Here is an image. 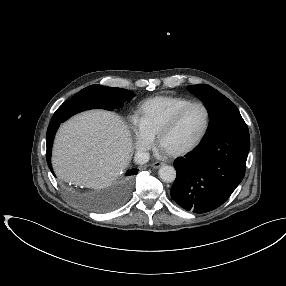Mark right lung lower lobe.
Here are the masks:
<instances>
[{
    "label": "right lung lower lobe",
    "instance_id": "98d812e1",
    "mask_svg": "<svg viewBox=\"0 0 286 286\" xmlns=\"http://www.w3.org/2000/svg\"><path fill=\"white\" fill-rule=\"evenodd\" d=\"M62 121L60 119H57V118H52L50 124H49V127L47 129V136H46V143H47V153H46V158H47V163H48V166L51 170V172L53 173V170H52V166H51V149H52V144H53V139H54V136H55V133L60 125ZM138 170L136 169H132L130 171H128L126 173V176H131V175H135L137 174ZM54 174V173H53Z\"/></svg>",
    "mask_w": 286,
    "mask_h": 286
}]
</instances>
